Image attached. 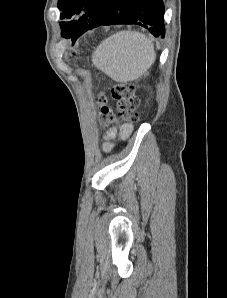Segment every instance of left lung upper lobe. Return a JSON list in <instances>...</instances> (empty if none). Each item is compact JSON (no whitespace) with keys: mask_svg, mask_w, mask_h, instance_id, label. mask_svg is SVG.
Instances as JSON below:
<instances>
[{"mask_svg":"<svg viewBox=\"0 0 227 298\" xmlns=\"http://www.w3.org/2000/svg\"><path fill=\"white\" fill-rule=\"evenodd\" d=\"M107 0H58V8L61 11L60 19H70L84 12L77 19L61 22L62 36L71 38L72 41L95 27Z\"/></svg>","mask_w":227,"mask_h":298,"instance_id":"5c2ea615","label":"left lung upper lobe"}]
</instances>
